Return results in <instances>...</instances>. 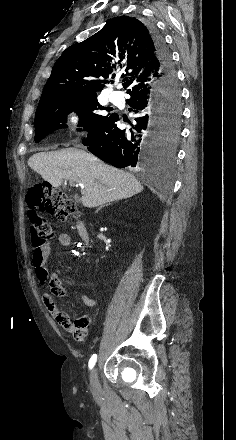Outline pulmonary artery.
Listing matches in <instances>:
<instances>
[{"label": "pulmonary artery", "mask_w": 236, "mask_h": 440, "mask_svg": "<svg viewBox=\"0 0 236 440\" xmlns=\"http://www.w3.org/2000/svg\"><path fill=\"white\" fill-rule=\"evenodd\" d=\"M111 100H112L113 103L119 104L121 102L122 98H121L119 93L113 92L111 94Z\"/></svg>", "instance_id": "e3ab8cb5"}]
</instances>
